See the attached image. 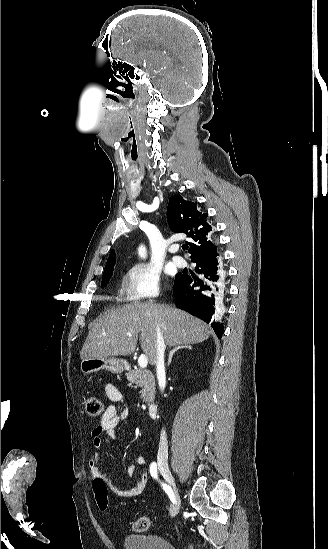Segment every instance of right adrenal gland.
I'll return each instance as SVG.
<instances>
[{
	"mask_svg": "<svg viewBox=\"0 0 328 549\" xmlns=\"http://www.w3.org/2000/svg\"><path fill=\"white\" fill-rule=\"evenodd\" d=\"M179 349H191V347H189V345H186V347H177V349H173V351H170L168 357V365H170L174 353H176V351H179Z\"/></svg>",
	"mask_w": 328,
	"mask_h": 549,
	"instance_id": "right-adrenal-gland-1",
	"label": "right adrenal gland"
}]
</instances>
